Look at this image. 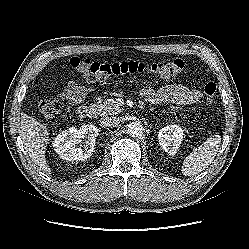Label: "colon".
Returning a JSON list of instances; mask_svg holds the SVG:
<instances>
[{"mask_svg": "<svg viewBox=\"0 0 249 249\" xmlns=\"http://www.w3.org/2000/svg\"><path fill=\"white\" fill-rule=\"evenodd\" d=\"M72 68L84 78L94 82H102L112 76L152 74L160 79H172L185 68L183 59L144 63L139 61H121L115 63H100L89 58L72 57L69 60ZM217 87L214 82L204 85L203 92L208 104L213 103ZM42 116L49 122L58 119L62 104L57 100L43 99L38 103Z\"/></svg>", "mask_w": 249, "mask_h": 249, "instance_id": "1", "label": "colon"}]
</instances>
